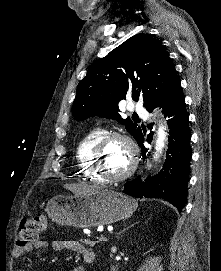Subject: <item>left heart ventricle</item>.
Here are the masks:
<instances>
[{
  "mask_svg": "<svg viewBox=\"0 0 221 271\" xmlns=\"http://www.w3.org/2000/svg\"><path fill=\"white\" fill-rule=\"evenodd\" d=\"M174 87V86H172ZM126 141H129L125 137H118L116 139L105 141L103 144V154L101 161L104 169L107 170V175H122L123 169L129 167V161L125 160V156H128V152H124V146Z\"/></svg>",
  "mask_w": 221,
  "mask_h": 271,
  "instance_id": "obj_1",
  "label": "left heart ventricle"
}]
</instances>
